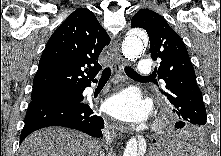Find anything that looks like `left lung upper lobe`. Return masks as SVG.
<instances>
[{
	"mask_svg": "<svg viewBox=\"0 0 221 156\" xmlns=\"http://www.w3.org/2000/svg\"><path fill=\"white\" fill-rule=\"evenodd\" d=\"M131 27L143 28L150 40L151 57L161 62L158 79L163 80L161 91L173 107L178 118L198 126L206 124V108L196 83L194 68L187 49L179 35L158 13L139 10L131 20Z\"/></svg>",
	"mask_w": 221,
	"mask_h": 156,
	"instance_id": "left-lung-upper-lobe-1",
	"label": "left lung upper lobe"
}]
</instances>
